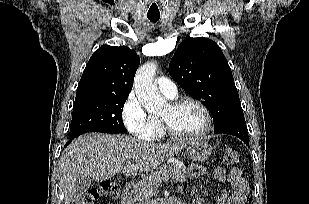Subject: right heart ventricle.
Returning <instances> with one entry per match:
<instances>
[{
	"label": "right heart ventricle",
	"instance_id": "right-heart-ventricle-1",
	"mask_svg": "<svg viewBox=\"0 0 309 204\" xmlns=\"http://www.w3.org/2000/svg\"><path fill=\"white\" fill-rule=\"evenodd\" d=\"M154 120H155L156 123L158 124V135H157V137H158V136H161V135H162L163 131H162L161 124H160L159 120L156 119V118H154Z\"/></svg>",
	"mask_w": 309,
	"mask_h": 204
}]
</instances>
